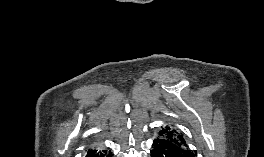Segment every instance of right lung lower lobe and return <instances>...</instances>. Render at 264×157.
<instances>
[{"mask_svg": "<svg viewBox=\"0 0 264 157\" xmlns=\"http://www.w3.org/2000/svg\"><path fill=\"white\" fill-rule=\"evenodd\" d=\"M85 157H114L112 152H107L104 149H99V148H90L87 150L86 156Z\"/></svg>", "mask_w": 264, "mask_h": 157, "instance_id": "98d812e1", "label": "right lung lower lobe"}]
</instances>
